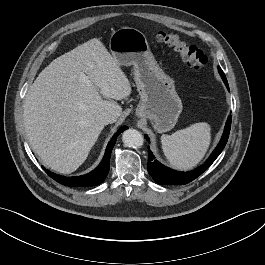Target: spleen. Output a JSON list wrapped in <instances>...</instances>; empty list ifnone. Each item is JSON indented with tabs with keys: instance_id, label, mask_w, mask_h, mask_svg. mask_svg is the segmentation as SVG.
<instances>
[{
	"instance_id": "obj_1",
	"label": "spleen",
	"mask_w": 265,
	"mask_h": 265,
	"mask_svg": "<svg viewBox=\"0 0 265 265\" xmlns=\"http://www.w3.org/2000/svg\"><path fill=\"white\" fill-rule=\"evenodd\" d=\"M210 142L211 128L206 122L161 136L162 149L170 164L184 170L193 168L203 159Z\"/></svg>"
}]
</instances>
